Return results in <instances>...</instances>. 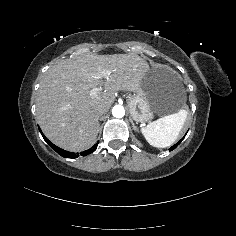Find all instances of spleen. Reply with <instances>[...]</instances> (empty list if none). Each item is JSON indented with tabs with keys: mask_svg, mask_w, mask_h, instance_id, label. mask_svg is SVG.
I'll return each mask as SVG.
<instances>
[{
	"mask_svg": "<svg viewBox=\"0 0 236 236\" xmlns=\"http://www.w3.org/2000/svg\"><path fill=\"white\" fill-rule=\"evenodd\" d=\"M188 108L164 116L143 129L149 143L157 148H166L176 142L188 118Z\"/></svg>",
	"mask_w": 236,
	"mask_h": 236,
	"instance_id": "1",
	"label": "spleen"
}]
</instances>
